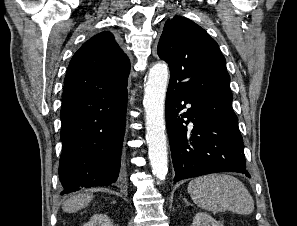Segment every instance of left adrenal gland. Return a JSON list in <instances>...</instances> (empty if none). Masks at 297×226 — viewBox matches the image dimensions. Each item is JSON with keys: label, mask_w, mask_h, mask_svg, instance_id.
<instances>
[{"label": "left adrenal gland", "mask_w": 297, "mask_h": 226, "mask_svg": "<svg viewBox=\"0 0 297 226\" xmlns=\"http://www.w3.org/2000/svg\"><path fill=\"white\" fill-rule=\"evenodd\" d=\"M184 201H185V203H186L187 205H189V203H188V201H187L186 199H184Z\"/></svg>", "instance_id": "left-adrenal-gland-1"}]
</instances>
